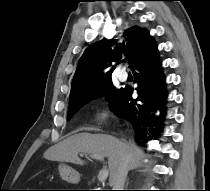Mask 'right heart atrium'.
Masks as SVG:
<instances>
[{
	"mask_svg": "<svg viewBox=\"0 0 210 191\" xmlns=\"http://www.w3.org/2000/svg\"><path fill=\"white\" fill-rule=\"evenodd\" d=\"M106 110L105 109H102L98 114H97V119L98 120H102L106 117Z\"/></svg>",
	"mask_w": 210,
	"mask_h": 191,
	"instance_id": "d8ad5b80",
	"label": "right heart atrium"
}]
</instances>
